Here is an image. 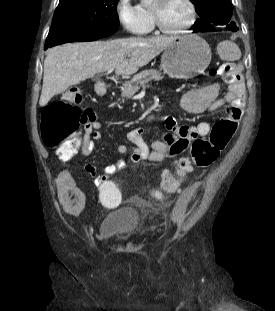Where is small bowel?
Listing matches in <instances>:
<instances>
[{
	"label": "small bowel",
	"instance_id": "obj_1",
	"mask_svg": "<svg viewBox=\"0 0 275 311\" xmlns=\"http://www.w3.org/2000/svg\"><path fill=\"white\" fill-rule=\"evenodd\" d=\"M217 51L221 54V57H231L234 60L241 57L239 48L231 41L223 42L222 46H218ZM226 83L228 84V90L222 96H219L220 86L218 83H211L189 90L182 100L183 109L191 114L221 111L223 112V119L238 120L245 99L241 63L237 64L232 78ZM150 118L147 121L148 126H161L162 121L158 119L157 114H152ZM164 126L165 130L161 138L150 141L144 139L142 128L132 129L128 132L127 138L135 147L128 158L118 159L108 164L99 175H96L95 166L91 163L85 165V170L95 176V183L98 185V183H104L105 178H110L115 172L123 169L129 163L139 160L162 162L167 158L175 157L187 148L193 138L206 136L213 128L212 124L206 121L194 125H180L172 117H167L164 120ZM85 127L86 136L82 154L89 155L95 148V141L101 138L99 131L101 124L94 115ZM116 151L122 155L126 154L127 147L119 144L116 146ZM71 173L73 176H78L80 172L78 169H73ZM58 189L61 192L58 199L62 201L60 213H66V216H83L85 209L84 188L75 187V184L72 183V176L61 171Z\"/></svg>",
	"mask_w": 275,
	"mask_h": 311
}]
</instances>
